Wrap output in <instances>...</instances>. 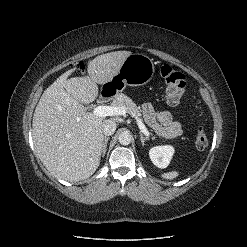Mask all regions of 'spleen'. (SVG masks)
<instances>
[{"instance_id":"3e777b00","label":"spleen","mask_w":247,"mask_h":247,"mask_svg":"<svg viewBox=\"0 0 247 247\" xmlns=\"http://www.w3.org/2000/svg\"><path fill=\"white\" fill-rule=\"evenodd\" d=\"M179 173L177 171H171V172H167L162 174V177L164 179H174L176 177H178Z\"/></svg>"}]
</instances>
